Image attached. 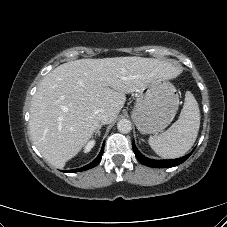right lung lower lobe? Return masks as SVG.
Instances as JSON below:
<instances>
[{
    "mask_svg": "<svg viewBox=\"0 0 227 227\" xmlns=\"http://www.w3.org/2000/svg\"><path fill=\"white\" fill-rule=\"evenodd\" d=\"M103 149H104V145L102 146V149H101L99 155L97 156V158L94 161H92L90 164H88V165H86L82 168H78V169H74V170H68L67 172H69V173L77 172V171L80 172V171H84V170H88V169L93 168L94 166H96L100 162L102 154H103Z\"/></svg>",
    "mask_w": 227,
    "mask_h": 227,
    "instance_id": "98d812e1",
    "label": "right lung lower lobe"
}]
</instances>
